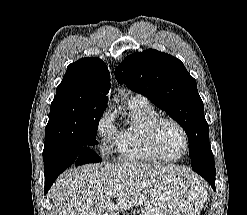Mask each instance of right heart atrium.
I'll return each instance as SVG.
<instances>
[{
  "label": "right heart atrium",
  "mask_w": 247,
  "mask_h": 215,
  "mask_svg": "<svg viewBox=\"0 0 247 215\" xmlns=\"http://www.w3.org/2000/svg\"><path fill=\"white\" fill-rule=\"evenodd\" d=\"M96 133L102 150L107 151L116 135L115 120L110 111L105 110L100 114L96 123Z\"/></svg>",
  "instance_id": "d8ad5b80"
}]
</instances>
